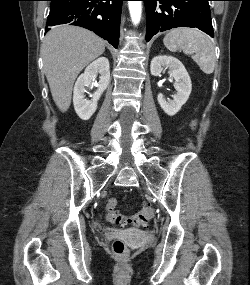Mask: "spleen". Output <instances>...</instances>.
I'll use <instances>...</instances> for the list:
<instances>
[{"instance_id": "1", "label": "spleen", "mask_w": 250, "mask_h": 285, "mask_svg": "<svg viewBox=\"0 0 250 285\" xmlns=\"http://www.w3.org/2000/svg\"><path fill=\"white\" fill-rule=\"evenodd\" d=\"M163 43L172 52L182 50L190 55L205 74L213 73L216 62L215 46L202 31L192 28L173 29L166 34Z\"/></svg>"}]
</instances>
